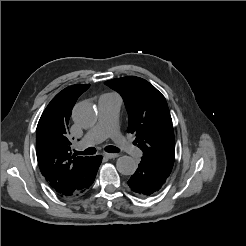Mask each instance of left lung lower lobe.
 I'll list each match as a JSON object with an SVG mask.
<instances>
[{"instance_id":"0a47b994","label":"left lung lower lobe","mask_w":246,"mask_h":246,"mask_svg":"<svg viewBox=\"0 0 246 246\" xmlns=\"http://www.w3.org/2000/svg\"><path fill=\"white\" fill-rule=\"evenodd\" d=\"M169 175L170 172L149 160L142 159L136 172L129 179L128 185L139 196L146 197L159 191Z\"/></svg>"}]
</instances>
